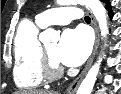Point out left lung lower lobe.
Masks as SVG:
<instances>
[{"label":"left lung lower lobe","instance_id":"obj_1","mask_svg":"<svg viewBox=\"0 0 121 94\" xmlns=\"http://www.w3.org/2000/svg\"><path fill=\"white\" fill-rule=\"evenodd\" d=\"M103 2H107V1H103ZM105 7H106V9H107L108 12H109L110 17H112L113 14H112V10H111V5H110V3H107V4L105 5Z\"/></svg>","mask_w":121,"mask_h":94}]
</instances>
